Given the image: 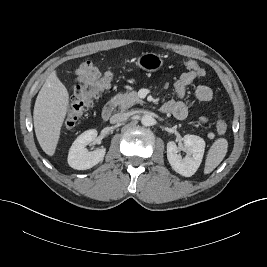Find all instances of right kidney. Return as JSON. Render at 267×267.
Listing matches in <instances>:
<instances>
[{"label":"right kidney","mask_w":267,"mask_h":267,"mask_svg":"<svg viewBox=\"0 0 267 267\" xmlns=\"http://www.w3.org/2000/svg\"><path fill=\"white\" fill-rule=\"evenodd\" d=\"M97 130L91 129L83 132L73 142L69 154L68 164L73 169L86 170L103 160L106 149H96L89 152L85 147L97 137Z\"/></svg>","instance_id":"ca27d5eb"}]
</instances>
